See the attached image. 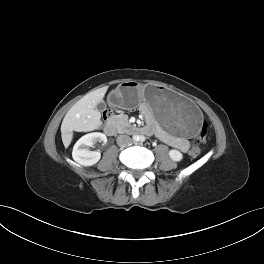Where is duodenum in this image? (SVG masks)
I'll return each instance as SVG.
<instances>
[{"instance_id": "410a0bca", "label": "duodenum", "mask_w": 264, "mask_h": 264, "mask_svg": "<svg viewBox=\"0 0 264 264\" xmlns=\"http://www.w3.org/2000/svg\"><path fill=\"white\" fill-rule=\"evenodd\" d=\"M123 131L128 134H143L149 132V129L129 125ZM104 132L109 136H113L118 132V126L113 120H108L105 123Z\"/></svg>"}]
</instances>
